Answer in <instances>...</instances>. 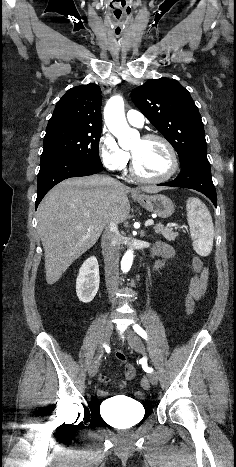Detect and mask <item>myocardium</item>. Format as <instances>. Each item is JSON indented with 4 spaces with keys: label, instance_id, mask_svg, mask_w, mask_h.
Here are the masks:
<instances>
[{
    "label": "myocardium",
    "instance_id": "myocardium-1",
    "mask_svg": "<svg viewBox=\"0 0 236 467\" xmlns=\"http://www.w3.org/2000/svg\"><path fill=\"white\" fill-rule=\"evenodd\" d=\"M141 139L144 140V141L158 140V141L162 142L164 144V146L166 147V149L168 150V152H169V155H170V158H171V167H170L169 171L163 176H160V177H146V176L139 173V171L137 169V166H136L135 157L131 153V159H132L131 173H132L133 177L136 178L137 180L141 181V182H146V183H162V182H166V181L170 180L171 178H173L175 176V174L179 170V158H178V154H177L174 146L171 144V142L167 138H165L164 136L158 135V134H146Z\"/></svg>",
    "mask_w": 236,
    "mask_h": 467
}]
</instances>
